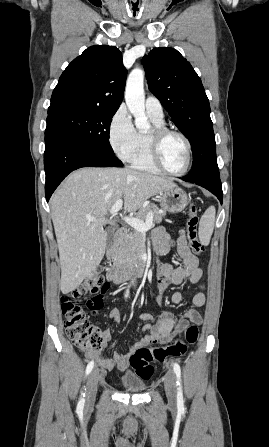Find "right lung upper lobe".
Listing matches in <instances>:
<instances>
[{"instance_id":"right-lung-upper-lobe-1","label":"right lung upper lobe","mask_w":269,"mask_h":447,"mask_svg":"<svg viewBox=\"0 0 269 447\" xmlns=\"http://www.w3.org/2000/svg\"><path fill=\"white\" fill-rule=\"evenodd\" d=\"M127 70L114 46L86 49L62 73L48 113L65 110H117L122 102Z\"/></svg>"}]
</instances>
